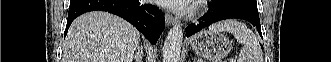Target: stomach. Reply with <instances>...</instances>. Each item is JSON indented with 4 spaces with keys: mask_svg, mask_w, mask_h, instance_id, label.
Segmentation results:
<instances>
[{
    "mask_svg": "<svg viewBox=\"0 0 331 62\" xmlns=\"http://www.w3.org/2000/svg\"><path fill=\"white\" fill-rule=\"evenodd\" d=\"M190 45L196 54L211 62L222 60L231 50V44L223 34L210 30L196 34Z\"/></svg>",
    "mask_w": 331,
    "mask_h": 62,
    "instance_id": "1",
    "label": "stomach"
}]
</instances>
